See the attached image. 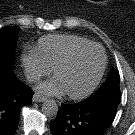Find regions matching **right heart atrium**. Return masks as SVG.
Wrapping results in <instances>:
<instances>
[{
  "label": "right heart atrium",
  "mask_w": 135,
  "mask_h": 135,
  "mask_svg": "<svg viewBox=\"0 0 135 135\" xmlns=\"http://www.w3.org/2000/svg\"><path fill=\"white\" fill-rule=\"evenodd\" d=\"M21 63L27 78L31 82H36L50 72V68L43 61L36 50H30L21 57Z\"/></svg>",
  "instance_id": "right-heart-atrium-1"
}]
</instances>
